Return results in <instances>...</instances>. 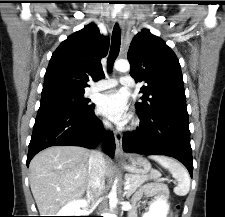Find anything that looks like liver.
Wrapping results in <instances>:
<instances>
[{
	"mask_svg": "<svg viewBox=\"0 0 225 217\" xmlns=\"http://www.w3.org/2000/svg\"><path fill=\"white\" fill-rule=\"evenodd\" d=\"M90 150L78 146H52L30 162L29 181L40 216H54L58 210L80 198L89 181ZM105 177L112 163L105 158Z\"/></svg>",
	"mask_w": 225,
	"mask_h": 217,
	"instance_id": "6515ba94",
	"label": "liver"
}]
</instances>
